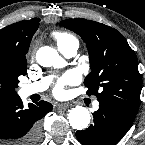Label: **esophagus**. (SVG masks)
Listing matches in <instances>:
<instances>
[{"mask_svg":"<svg viewBox=\"0 0 145 145\" xmlns=\"http://www.w3.org/2000/svg\"><path fill=\"white\" fill-rule=\"evenodd\" d=\"M70 107H71V105L69 103H60V104L57 105V108L61 109V110H66Z\"/></svg>","mask_w":145,"mask_h":145,"instance_id":"1","label":"esophagus"}]
</instances>
